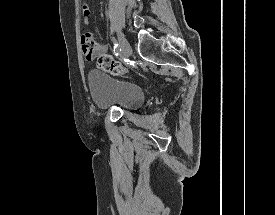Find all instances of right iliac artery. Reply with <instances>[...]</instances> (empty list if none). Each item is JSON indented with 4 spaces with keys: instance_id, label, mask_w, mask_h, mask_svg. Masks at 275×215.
I'll list each match as a JSON object with an SVG mask.
<instances>
[{
    "instance_id": "82829eb1",
    "label": "right iliac artery",
    "mask_w": 275,
    "mask_h": 215,
    "mask_svg": "<svg viewBox=\"0 0 275 215\" xmlns=\"http://www.w3.org/2000/svg\"><path fill=\"white\" fill-rule=\"evenodd\" d=\"M121 52V48L118 46L117 43L114 44V54L118 56Z\"/></svg>"
}]
</instances>
